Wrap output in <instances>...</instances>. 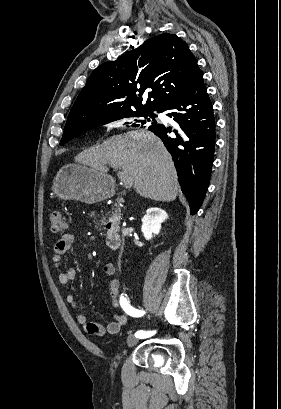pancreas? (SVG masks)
Instances as JSON below:
<instances>
[{
	"label": "pancreas",
	"mask_w": 281,
	"mask_h": 409,
	"mask_svg": "<svg viewBox=\"0 0 281 409\" xmlns=\"http://www.w3.org/2000/svg\"><path fill=\"white\" fill-rule=\"evenodd\" d=\"M115 215H116V217H119V215H121V211H120V209H118V207H116V209H115Z\"/></svg>",
	"instance_id": "pancreas-1"
}]
</instances>
